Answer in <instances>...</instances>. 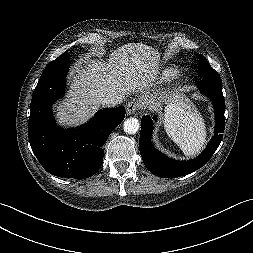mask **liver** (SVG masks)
Listing matches in <instances>:
<instances>
[{
	"label": "liver",
	"instance_id": "1",
	"mask_svg": "<svg viewBox=\"0 0 253 253\" xmlns=\"http://www.w3.org/2000/svg\"><path fill=\"white\" fill-rule=\"evenodd\" d=\"M159 63L158 52L142 43H128L114 50L108 62L86 57L76 68L66 102L58 106V122L76 125L86 121L101 106L100 97H116L140 91L153 81ZM167 112L182 107V100L173 99Z\"/></svg>",
	"mask_w": 253,
	"mask_h": 253
}]
</instances>
